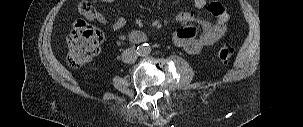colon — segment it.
Listing matches in <instances>:
<instances>
[{"label":"colon","mask_w":303,"mask_h":127,"mask_svg":"<svg viewBox=\"0 0 303 127\" xmlns=\"http://www.w3.org/2000/svg\"><path fill=\"white\" fill-rule=\"evenodd\" d=\"M93 10L90 1H82L79 4V12L88 15ZM103 35L96 27L80 19L77 20L67 37L68 43V65L77 68L96 56L101 47ZM220 59H226L228 51L224 48L218 50Z\"/></svg>","instance_id":"obj_1"}]
</instances>
